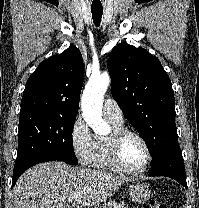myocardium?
Returning <instances> with one entry per match:
<instances>
[{
	"mask_svg": "<svg viewBox=\"0 0 199 208\" xmlns=\"http://www.w3.org/2000/svg\"><path fill=\"white\" fill-rule=\"evenodd\" d=\"M127 136L136 137L138 140L141 141V143L143 144L146 150L145 162L136 169H131V168L126 167L120 156L121 143ZM108 151H109V157H110L112 164L119 171L124 172L126 174H132V175L140 174L150 165L152 161V152H151V148L147 140L139 132L131 130V129L122 128L120 130L114 131L108 140Z\"/></svg>",
	"mask_w": 199,
	"mask_h": 208,
	"instance_id": "1",
	"label": "myocardium"
}]
</instances>
